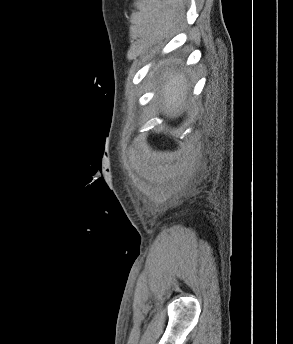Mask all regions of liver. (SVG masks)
<instances>
[{
  "label": "liver",
  "mask_w": 293,
  "mask_h": 344,
  "mask_svg": "<svg viewBox=\"0 0 293 344\" xmlns=\"http://www.w3.org/2000/svg\"><path fill=\"white\" fill-rule=\"evenodd\" d=\"M189 85L183 73L166 70L162 75L161 92L163 95L164 113L177 117L188 94Z\"/></svg>",
  "instance_id": "obj_1"
}]
</instances>
